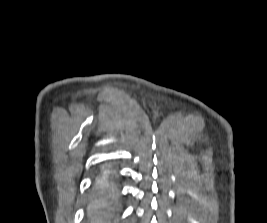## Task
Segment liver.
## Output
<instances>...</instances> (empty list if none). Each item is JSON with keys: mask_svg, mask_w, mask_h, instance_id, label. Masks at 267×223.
Wrapping results in <instances>:
<instances>
[{"mask_svg": "<svg viewBox=\"0 0 267 223\" xmlns=\"http://www.w3.org/2000/svg\"><path fill=\"white\" fill-rule=\"evenodd\" d=\"M110 203L105 199L93 201L88 207V217L90 223H108L109 213L107 209Z\"/></svg>", "mask_w": 267, "mask_h": 223, "instance_id": "liver-1", "label": "liver"}]
</instances>
